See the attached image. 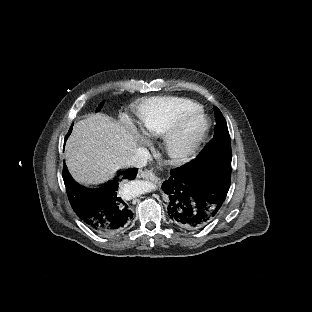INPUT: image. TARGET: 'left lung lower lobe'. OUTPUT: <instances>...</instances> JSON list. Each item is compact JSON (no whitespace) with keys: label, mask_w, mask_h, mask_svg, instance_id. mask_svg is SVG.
Segmentation results:
<instances>
[{"label":"left lung lower lobe","mask_w":312,"mask_h":312,"mask_svg":"<svg viewBox=\"0 0 312 312\" xmlns=\"http://www.w3.org/2000/svg\"><path fill=\"white\" fill-rule=\"evenodd\" d=\"M231 154L194 159L172 169L162 189L168 196V216L175 226L203 229L219 213L231 181Z\"/></svg>","instance_id":"0a47b994"}]
</instances>
